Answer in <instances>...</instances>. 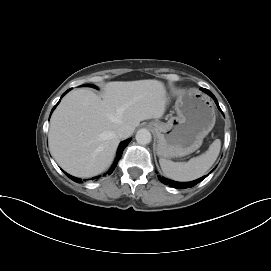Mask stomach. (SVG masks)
<instances>
[{
    "instance_id": "obj_1",
    "label": "stomach",
    "mask_w": 271,
    "mask_h": 271,
    "mask_svg": "<svg viewBox=\"0 0 271 271\" xmlns=\"http://www.w3.org/2000/svg\"><path fill=\"white\" fill-rule=\"evenodd\" d=\"M175 110L177 116L170 117L166 123H150L157 136L156 152L161 158L182 157L196 151L215 125L213 103L198 89L179 93Z\"/></svg>"
}]
</instances>
